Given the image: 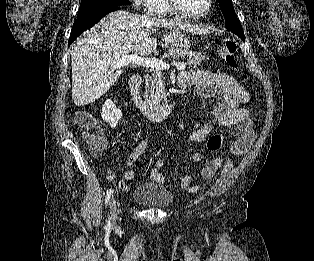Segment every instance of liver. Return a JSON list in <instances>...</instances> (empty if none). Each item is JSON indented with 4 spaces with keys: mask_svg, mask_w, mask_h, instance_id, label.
<instances>
[{
    "mask_svg": "<svg viewBox=\"0 0 314 261\" xmlns=\"http://www.w3.org/2000/svg\"><path fill=\"white\" fill-rule=\"evenodd\" d=\"M156 27L193 32L189 24L167 19H150L127 11L104 17L71 49L72 99L77 106L93 103L120 78L123 69L114 65L124 56L150 55L157 47L150 37Z\"/></svg>",
    "mask_w": 314,
    "mask_h": 261,
    "instance_id": "6515ba94",
    "label": "liver"
}]
</instances>
